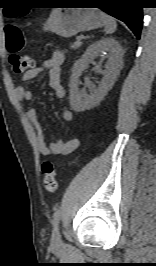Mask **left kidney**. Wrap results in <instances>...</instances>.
Returning <instances> with one entry per match:
<instances>
[{
	"label": "left kidney",
	"instance_id": "left-kidney-1",
	"mask_svg": "<svg viewBox=\"0 0 156 266\" xmlns=\"http://www.w3.org/2000/svg\"><path fill=\"white\" fill-rule=\"evenodd\" d=\"M105 53L108 61L105 64L103 78L98 88L90 95L81 94L78 90L79 77L95 57ZM123 51L114 38H102L87 47L81 59L77 60L72 67L70 78V105L75 112H83L100 103L112 88L122 67Z\"/></svg>",
	"mask_w": 156,
	"mask_h": 266
}]
</instances>
